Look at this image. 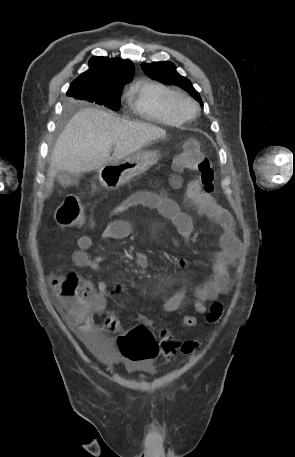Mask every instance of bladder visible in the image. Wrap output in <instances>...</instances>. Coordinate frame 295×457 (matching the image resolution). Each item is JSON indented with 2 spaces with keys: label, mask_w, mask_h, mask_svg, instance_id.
Masks as SVG:
<instances>
[{
  "label": "bladder",
  "mask_w": 295,
  "mask_h": 457,
  "mask_svg": "<svg viewBox=\"0 0 295 457\" xmlns=\"http://www.w3.org/2000/svg\"><path fill=\"white\" fill-rule=\"evenodd\" d=\"M81 347H93L91 353L93 356H100L99 358L104 363H109L110 360L107 356H113V339L112 338H81ZM128 368L130 371H144L147 373L155 372L156 367L148 365L147 363H129Z\"/></svg>",
  "instance_id": "obj_1"
}]
</instances>
